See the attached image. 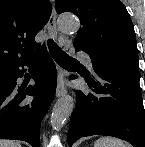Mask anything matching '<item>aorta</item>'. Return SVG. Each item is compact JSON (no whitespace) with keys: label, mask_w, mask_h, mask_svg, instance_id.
<instances>
[{"label":"aorta","mask_w":145,"mask_h":147,"mask_svg":"<svg viewBox=\"0 0 145 147\" xmlns=\"http://www.w3.org/2000/svg\"><path fill=\"white\" fill-rule=\"evenodd\" d=\"M58 25L63 32H75L79 29V21L71 14H63L58 18ZM75 101L72 96L66 95L59 99L52 111L51 126L60 130L74 109Z\"/></svg>","instance_id":"obj_1"}]
</instances>
